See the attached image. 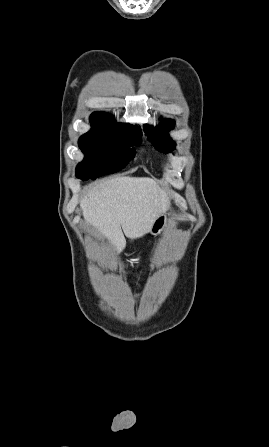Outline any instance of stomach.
<instances>
[{"label":"stomach","instance_id":"1","mask_svg":"<svg viewBox=\"0 0 269 447\" xmlns=\"http://www.w3.org/2000/svg\"><path fill=\"white\" fill-rule=\"evenodd\" d=\"M166 225H167V216L164 212V214H161V216H158V218H156L154 224L150 229V233H152V235H159V233L163 231Z\"/></svg>","mask_w":269,"mask_h":447}]
</instances>
